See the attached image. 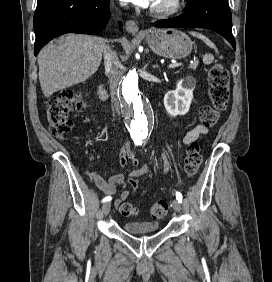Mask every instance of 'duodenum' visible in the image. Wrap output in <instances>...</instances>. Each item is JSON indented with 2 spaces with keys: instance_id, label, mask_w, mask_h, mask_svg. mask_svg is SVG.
<instances>
[{
  "instance_id": "410a0bca",
  "label": "duodenum",
  "mask_w": 272,
  "mask_h": 282,
  "mask_svg": "<svg viewBox=\"0 0 272 282\" xmlns=\"http://www.w3.org/2000/svg\"><path fill=\"white\" fill-rule=\"evenodd\" d=\"M98 97L100 100H106L108 98V92L103 85L98 88Z\"/></svg>"
}]
</instances>
